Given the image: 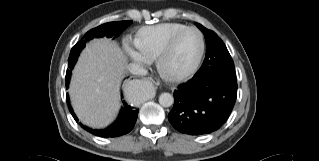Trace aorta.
I'll return each instance as SVG.
<instances>
[{"instance_id": "762f6f07", "label": "aorta", "mask_w": 319, "mask_h": 161, "mask_svg": "<svg viewBox=\"0 0 319 161\" xmlns=\"http://www.w3.org/2000/svg\"><path fill=\"white\" fill-rule=\"evenodd\" d=\"M151 87L149 85H145L140 89V97L145 96V91L150 90ZM159 103L163 107H170L174 103V98L170 93H162L159 97Z\"/></svg>"}]
</instances>
